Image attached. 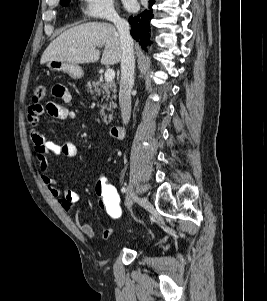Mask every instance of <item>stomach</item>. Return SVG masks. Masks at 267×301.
I'll return each instance as SVG.
<instances>
[{
    "instance_id": "0dacf381",
    "label": "stomach",
    "mask_w": 267,
    "mask_h": 301,
    "mask_svg": "<svg viewBox=\"0 0 267 301\" xmlns=\"http://www.w3.org/2000/svg\"><path fill=\"white\" fill-rule=\"evenodd\" d=\"M47 67L50 70L67 73L73 79H81L83 77V70L78 64H71L64 61H49Z\"/></svg>"
}]
</instances>
